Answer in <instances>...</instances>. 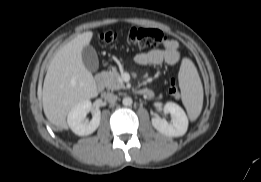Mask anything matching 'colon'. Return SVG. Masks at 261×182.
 <instances>
[{"label": "colon", "mask_w": 261, "mask_h": 182, "mask_svg": "<svg viewBox=\"0 0 261 182\" xmlns=\"http://www.w3.org/2000/svg\"><path fill=\"white\" fill-rule=\"evenodd\" d=\"M126 37L127 41L138 49L156 48L167 41L166 36L160 30L142 27L131 28L128 30ZM100 39L103 42L112 43L118 39V35L115 32H104L100 34ZM168 92L172 97L179 96L173 80L169 83Z\"/></svg>", "instance_id": "1"}]
</instances>
